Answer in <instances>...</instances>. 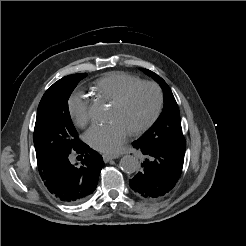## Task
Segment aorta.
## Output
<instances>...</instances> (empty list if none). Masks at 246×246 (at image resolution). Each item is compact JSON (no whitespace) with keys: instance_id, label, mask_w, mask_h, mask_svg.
<instances>
[{"instance_id":"obj_1","label":"aorta","mask_w":246,"mask_h":246,"mask_svg":"<svg viewBox=\"0 0 246 246\" xmlns=\"http://www.w3.org/2000/svg\"><path fill=\"white\" fill-rule=\"evenodd\" d=\"M90 115L97 119L103 120L106 116V110L102 104L94 103L89 109ZM121 170L125 173H134L139 166V161L136 157L132 155H125L121 158L119 162Z\"/></svg>"}]
</instances>
